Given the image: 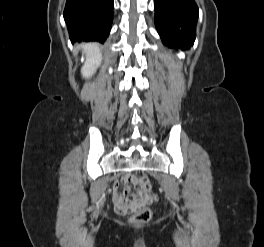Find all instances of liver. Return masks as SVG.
Listing matches in <instances>:
<instances>
[{
  "mask_svg": "<svg viewBox=\"0 0 264 247\" xmlns=\"http://www.w3.org/2000/svg\"><path fill=\"white\" fill-rule=\"evenodd\" d=\"M81 47L86 53V61L81 69V73L83 77L88 78L95 73L96 68L100 65L102 54L97 44L87 43Z\"/></svg>",
  "mask_w": 264,
  "mask_h": 247,
  "instance_id": "obj_1",
  "label": "liver"
}]
</instances>
